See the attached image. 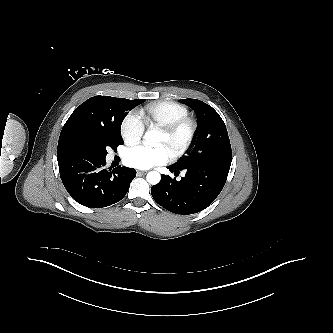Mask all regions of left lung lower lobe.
Instances as JSON below:
<instances>
[{
    "label": "left lung lower lobe",
    "mask_w": 333,
    "mask_h": 333,
    "mask_svg": "<svg viewBox=\"0 0 333 333\" xmlns=\"http://www.w3.org/2000/svg\"><path fill=\"white\" fill-rule=\"evenodd\" d=\"M175 175L186 171L180 181L161 175V181L151 188L154 200L176 214L189 215L209 206L223 189L230 165L201 163L186 168L167 167Z\"/></svg>",
    "instance_id": "left-lung-lower-lobe-1"
}]
</instances>
